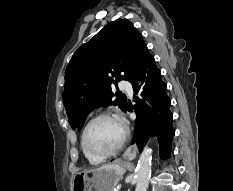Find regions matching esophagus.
Instances as JSON below:
<instances>
[{"instance_id": "34e87169", "label": "esophagus", "mask_w": 233, "mask_h": 191, "mask_svg": "<svg viewBox=\"0 0 233 191\" xmlns=\"http://www.w3.org/2000/svg\"><path fill=\"white\" fill-rule=\"evenodd\" d=\"M135 153H136V147L133 146V147L128 148V150L125 152V155L132 156V155H135Z\"/></svg>"}]
</instances>
